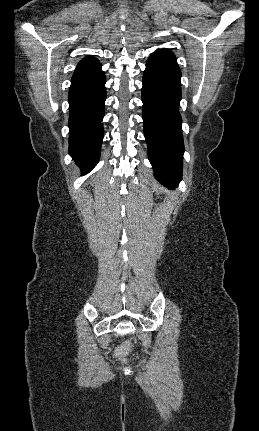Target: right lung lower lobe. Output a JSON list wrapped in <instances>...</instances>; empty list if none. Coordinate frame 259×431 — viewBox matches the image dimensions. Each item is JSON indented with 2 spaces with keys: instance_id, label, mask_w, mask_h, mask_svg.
I'll list each match as a JSON object with an SVG mask.
<instances>
[{
  "instance_id": "1",
  "label": "right lung lower lobe",
  "mask_w": 259,
  "mask_h": 431,
  "mask_svg": "<svg viewBox=\"0 0 259 431\" xmlns=\"http://www.w3.org/2000/svg\"><path fill=\"white\" fill-rule=\"evenodd\" d=\"M101 66L76 69L69 89V154L83 175L98 163L103 140L106 77Z\"/></svg>"
}]
</instances>
